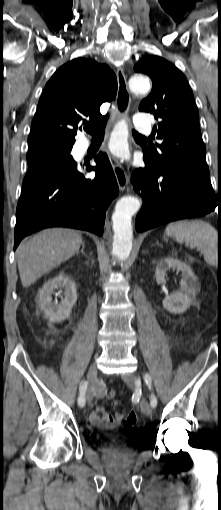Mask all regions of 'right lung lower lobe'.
I'll list each match as a JSON object with an SVG mask.
<instances>
[{"label":"right lung lower lobe","mask_w":221,"mask_h":510,"mask_svg":"<svg viewBox=\"0 0 221 510\" xmlns=\"http://www.w3.org/2000/svg\"><path fill=\"white\" fill-rule=\"evenodd\" d=\"M95 167L81 165L68 173H45L23 181L16 211L14 250L27 235L48 227H70L103 234L106 210L118 184L105 153ZM95 171L94 178L85 173Z\"/></svg>","instance_id":"right-lung-lower-lobe-1"}]
</instances>
